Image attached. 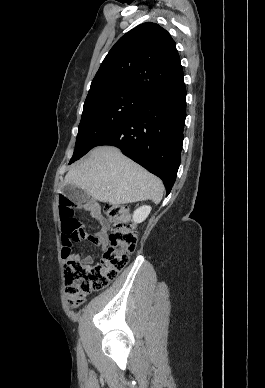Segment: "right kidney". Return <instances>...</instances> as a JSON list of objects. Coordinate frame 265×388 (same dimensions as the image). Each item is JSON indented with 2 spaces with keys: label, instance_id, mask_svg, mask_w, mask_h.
<instances>
[{
  "label": "right kidney",
  "instance_id": "obj_1",
  "mask_svg": "<svg viewBox=\"0 0 265 388\" xmlns=\"http://www.w3.org/2000/svg\"><path fill=\"white\" fill-rule=\"evenodd\" d=\"M150 212H151L150 206H141V208H138V210H135L133 214V222H135V224H141V222H144V220L148 218Z\"/></svg>",
  "mask_w": 265,
  "mask_h": 388
}]
</instances>
